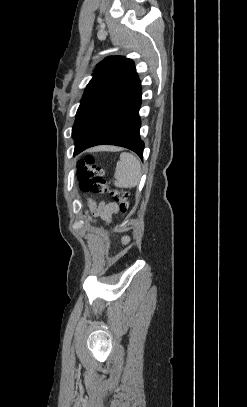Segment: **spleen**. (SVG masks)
<instances>
[{
  "instance_id": "spleen-1",
  "label": "spleen",
  "mask_w": 247,
  "mask_h": 407,
  "mask_svg": "<svg viewBox=\"0 0 247 407\" xmlns=\"http://www.w3.org/2000/svg\"><path fill=\"white\" fill-rule=\"evenodd\" d=\"M114 185L118 188H134L141 178L139 159L131 153H122L116 164Z\"/></svg>"
}]
</instances>
